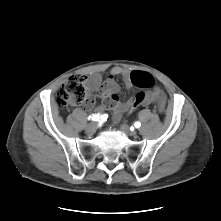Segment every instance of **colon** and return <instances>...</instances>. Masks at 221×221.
Returning <instances> with one entry per match:
<instances>
[{
    "label": "colon",
    "instance_id": "5ec220e1",
    "mask_svg": "<svg viewBox=\"0 0 221 221\" xmlns=\"http://www.w3.org/2000/svg\"><path fill=\"white\" fill-rule=\"evenodd\" d=\"M131 78L135 86L139 88L148 89L154 85V79L149 74L134 72ZM145 95L144 91H139L135 96V104H141ZM56 100L63 109L78 104H86L87 106L93 104V100L88 97L85 78L81 75H74L68 78L58 90Z\"/></svg>",
    "mask_w": 221,
    "mask_h": 221
}]
</instances>
